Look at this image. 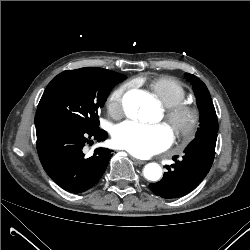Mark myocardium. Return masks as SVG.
Listing matches in <instances>:
<instances>
[{"instance_id": "obj_1", "label": "myocardium", "mask_w": 250, "mask_h": 250, "mask_svg": "<svg viewBox=\"0 0 250 250\" xmlns=\"http://www.w3.org/2000/svg\"><path fill=\"white\" fill-rule=\"evenodd\" d=\"M200 119L197 106L186 100L171 107H165V123L182 147H185L196 135Z\"/></svg>"}]
</instances>
